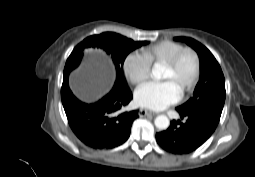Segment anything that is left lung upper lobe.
I'll use <instances>...</instances> for the list:
<instances>
[{"label": "left lung upper lobe", "instance_id": "1", "mask_svg": "<svg viewBox=\"0 0 255 177\" xmlns=\"http://www.w3.org/2000/svg\"><path fill=\"white\" fill-rule=\"evenodd\" d=\"M191 46L200 59V77L193 96L176 110L185 113L210 114L220 119L225 102V79L221 67L212 53L198 41L187 37H175Z\"/></svg>", "mask_w": 255, "mask_h": 177}]
</instances>
